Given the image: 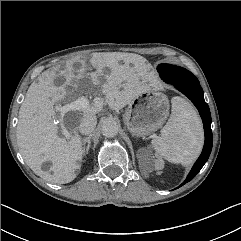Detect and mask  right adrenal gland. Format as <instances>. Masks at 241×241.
<instances>
[{
    "mask_svg": "<svg viewBox=\"0 0 241 241\" xmlns=\"http://www.w3.org/2000/svg\"><path fill=\"white\" fill-rule=\"evenodd\" d=\"M87 144V146H86ZM83 152L84 154H88L90 146H91V135L87 136L82 140Z\"/></svg>",
    "mask_w": 241,
    "mask_h": 241,
    "instance_id": "2a0ac1e0",
    "label": "right adrenal gland"
}]
</instances>
